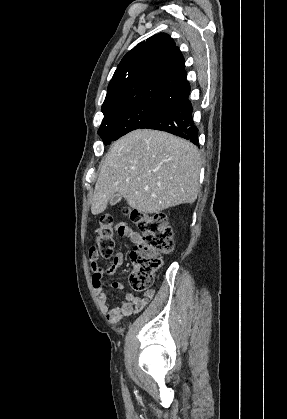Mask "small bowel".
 Here are the masks:
<instances>
[{
    "label": "small bowel",
    "instance_id": "1",
    "mask_svg": "<svg viewBox=\"0 0 287 419\" xmlns=\"http://www.w3.org/2000/svg\"><path fill=\"white\" fill-rule=\"evenodd\" d=\"M118 232L121 236L128 237L133 243L137 244L141 240V236L135 232L126 223H119L117 226ZM124 260L121 252L117 253L113 259V263L108 268H103L98 263V253L94 249L90 253V268L92 271V282L94 291L97 295L98 302L102 308L104 315L110 322L116 323L121 319L128 317L132 314L138 313L153 299L154 293L148 291L144 296H136L132 293L126 294L124 300L115 306H110L107 295L104 291L105 286H110L113 289L121 290L124 284L121 282L108 283L104 276L114 275Z\"/></svg>",
    "mask_w": 287,
    "mask_h": 419
}]
</instances>
